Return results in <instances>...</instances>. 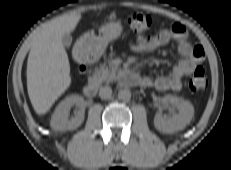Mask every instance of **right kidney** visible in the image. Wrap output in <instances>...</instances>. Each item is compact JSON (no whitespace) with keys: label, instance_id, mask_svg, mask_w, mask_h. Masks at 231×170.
<instances>
[{"label":"right kidney","instance_id":"1","mask_svg":"<svg viewBox=\"0 0 231 170\" xmlns=\"http://www.w3.org/2000/svg\"><path fill=\"white\" fill-rule=\"evenodd\" d=\"M73 106L77 108L75 116L72 119H68L70 109ZM84 111L85 104L83 97L79 95H71L61 101L56 107L50 121V126L52 129L58 131L76 129L84 120Z\"/></svg>","mask_w":231,"mask_h":170}]
</instances>
